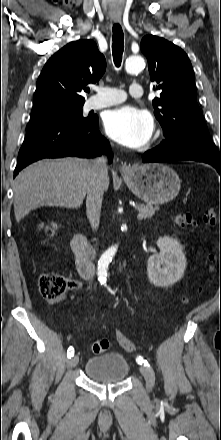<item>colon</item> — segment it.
<instances>
[{"instance_id": "obj_1", "label": "colon", "mask_w": 221, "mask_h": 440, "mask_svg": "<svg viewBox=\"0 0 221 440\" xmlns=\"http://www.w3.org/2000/svg\"><path fill=\"white\" fill-rule=\"evenodd\" d=\"M205 219L208 223L215 220V213L212 210H207L205 213ZM174 223L182 228L191 227L195 225L193 215L189 212H181L175 215ZM56 225L54 223L48 224L44 228V233L47 236L54 234ZM218 256L216 253H210L208 255V261L211 266L210 269L214 270L217 263ZM39 288L42 296L46 299H57L63 296L68 290V281L58 274L43 273L39 279ZM112 337L117 339L121 346H123L128 352H135L137 346L130 342L124 335L122 330H114ZM109 348V341L107 339H99L93 342L92 351L94 354H102Z\"/></svg>"}]
</instances>
